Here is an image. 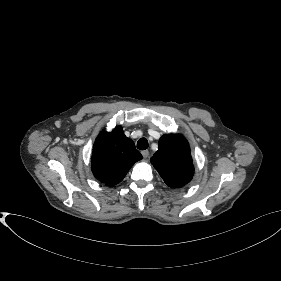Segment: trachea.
Masks as SVG:
<instances>
[{"instance_id": "1", "label": "trachea", "mask_w": 281, "mask_h": 281, "mask_svg": "<svg viewBox=\"0 0 281 281\" xmlns=\"http://www.w3.org/2000/svg\"><path fill=\"white\" fill-rule=\"evenodd\" d=\"M137 148L139 150H145L148 148V140L146 138H141L137 142Z\"/></svg>"}]
</instances>
